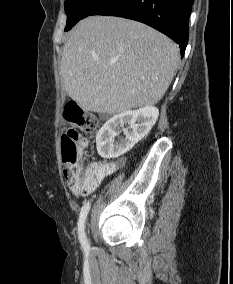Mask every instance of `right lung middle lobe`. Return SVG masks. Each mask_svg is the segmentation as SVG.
<instances>
[{
	"label": "right lung middle lobe",
	"instance_id": "1",
	"mask_svg": "<svg viewBox=\"0 0 233 284\" xmlns=\"http://www.w3.org/2000/svg\"><path fill=\"white\" fill-rule=\"evenodd\" d=\"M107 0H65V12L67 25L65 31L70 30L79 20L91 15L99 6Z\"/></svg>",
	"mask_w": 233,
	"mask_h": 284
}]
</instances>
